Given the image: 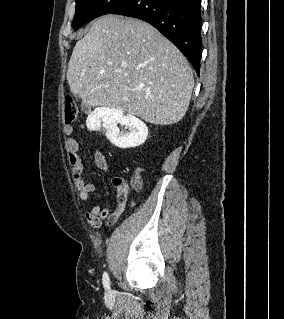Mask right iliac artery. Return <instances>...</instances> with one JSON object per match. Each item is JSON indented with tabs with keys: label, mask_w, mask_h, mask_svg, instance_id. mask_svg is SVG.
<instances>
[{
	"label": "right iliac artery",
	"mask_w": 284,
	"mask_h": 319,
	"mask_svg": "<svg viewBox=\"0 0 284 319\" xmlns=\"http://www.w3.org/2000/svg\"><path fill=\"white\" fill-rule=\"evenodd\" d=\"M102 280H103V285H104L105 289L108 290L110 288V280H109V276L106 272H104Z\"/></svg>",
	"instance_id": "1"
}]
</instances>
